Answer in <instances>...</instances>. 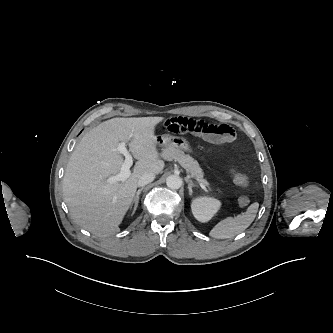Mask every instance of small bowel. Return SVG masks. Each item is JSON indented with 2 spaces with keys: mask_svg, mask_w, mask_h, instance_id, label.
I'll return each mask as SVG.
<instances>
[{
  "mask_svg": "<svg viewBox=\"0 0 333 333\" xmlns=\"http://www.w3.org/2000/svg\"><path fill=\"white\" fill-rule=\"evenodd\" d=\"M161 125L170 133L191 134L213 144L233 142L236 138L234 129L228 124H214L191 117H170L165 119Z\"/></svg>",
  "mask_w": 333,
  "mask_h": 333,
  "instance_id": "obj_1",
  "label": "small bowel"
}]
</instances>
